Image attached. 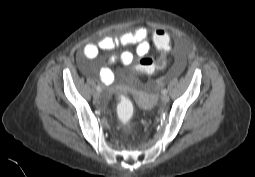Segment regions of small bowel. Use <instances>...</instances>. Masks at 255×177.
Here are the masks:
<instances>
[{
	"label": "small bowel",
	"instance_id": "obj_1",
	"mask_svg": "<svg viewBox=\"0 0 255 177\" xmlns=\"http://www.w3.org/2000/svg\"><path fill=\"white\" fill-rule=\"evenodd\" d=\"M127 46H136L138 56L147 55L151 49L148 29L144 26H139L133 31L123 33L119 36L103 35L97 42L87 43L83 47L82 53L84 58L91 60L98 56L100 50L109 51ZM133 58V53L129 51H124L117 56H111L108 58L106 65L99 71V80L104 84H111L114 80V73L110 66L115 62H120L125 65L130 64ZM80 66L84 72H89L83 60H80Z\"/></svg>",
	"mask_w": 255,
	"mask_h": 177
}]
</instances>
